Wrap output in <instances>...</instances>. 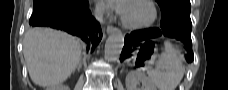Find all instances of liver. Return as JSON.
I'll list each match as a JSON object with an SVG mask.
<instances>
[{
  "label": "liver",
  "instance_id": "6515ba94",
  "mask_svg": "<svg viewBox=\"0 0 228 90\" xmlns=\"http://www.w3.org/2000/svg\"><path fill=\"white\" fill-rule=\"evenodd\" d=\"M23 53L33 83L52 87L64 82L78 66L81 45L66 33L32 28L25 34Z\"/></svg>",
  "mask_w": 228,
  "mask_h": 90
}]
</instances>
